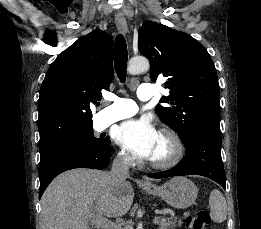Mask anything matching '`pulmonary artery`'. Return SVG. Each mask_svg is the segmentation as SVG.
I'll use <instances>...</instances> for the list:
<instances>
[{"label":"pulmonary artery","mask_w":261,"mask_h":229,"mask_svg":"<svg viewBox=\"0 0 261 229\" xmlns=\"http://www.w3.org/2000/svg\"><path fill=\"white\" fill-rule=\"evenodd\" d=\"M154 84L141 85L138 87L136 94L140 100H149L154 89ZM113 103L102 110L103 118L107 123H114L128 118L137 112V106L130 99H122L115 95L111 96Z\"/></svg>","instance_id":"e3ab8cb5"}]
</instances>
